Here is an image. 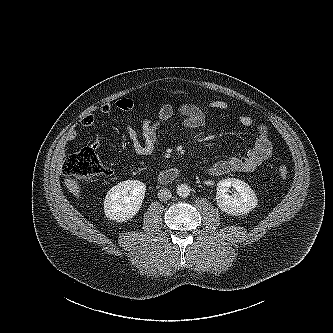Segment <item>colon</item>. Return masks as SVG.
I'll return each mask as SVG.
<instances>
[{"mask_svg":"<svg viewBox=\"0 0 333 333\" xmlns=\"http://www.w3.org/2000/svg\"><path fill=\"white\" fill-rule=\"evenodd\" d=\"M63 171L66 175L79 180H88L106 172L95 150L91 147H85L67 156L63 163ZM288 173L286 166L278 168L280 178L286 179Z\"/></svg>","mask_w":333,"mask_h":333,"instance_id":"obj_1","label":"colon"}]
</instances>
